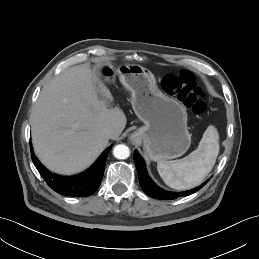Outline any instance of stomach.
I'll return each mask as SVG.
<instances>
[{
    "label": "stomach",
    "mask_w": 259,
    "mask_h": 259,
    "mask_svg": "<svg viewBox=\"0 0 259 259\" xmlns=\"http://www.w3.org/2000/svg\"><path fill=\"white\" fill-rule=\"evenodd\" d=\"M93 70L105 81L113 80L118 73L122 85L131 92L132 108L144 123L131 139L143 143L151 160L178 158L189 149L191 135L186 110L158 89L151 71L136 64H123L115 69L111 63L96 64Z\"/></svg>",
    "instance_id": "1"
}]
</instances>
